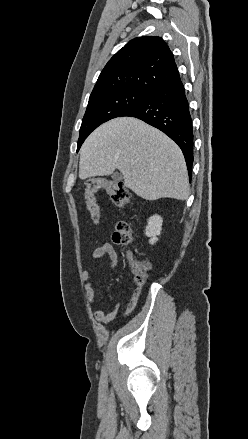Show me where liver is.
I'll list each match as a JSON object with an SVG mask.
<instances>
[{"mask_svg":"<svg viewBox=\"0 0 248 439\" xmlns=\"http://www.w3.org/2000/svg\"><path fill=\"white\" fill-rule=\"evenodd\" d=\"M118 169L139 197L186 200L189 182L181 149L158 129L133 117L112 119L93 131L80 150L79 178Z\"/></svg>","mask_w":248,"mask_h":439,"instance_id":"obj_1","label":"liver"}]
</instances>
